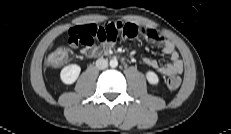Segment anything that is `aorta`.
<instances>
[{
	"mask_svg": "<svg viewBox=\"0 0 231 134\" xmlns=\"http://www.w3.org/2000/svg\"><path fill=\"white\" fill-rule=\"evenodd\" d=\"M110 66L112 67V68H115V67H117L118 66V61H117V59H111L110 60Z\"/></svg>",
	"mask_w": 231,
	"mask_h": 134,
	"instance_id": "1",
	"label": "aorta"
}]
</instances>
